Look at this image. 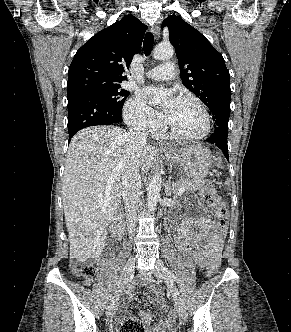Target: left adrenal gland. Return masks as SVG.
Returning a JSON list of instances; mask_svg holds the SVG:
<instances>
[{
  "label": "left adrenal gland",
  "mask_w": 291,
  "mask_h": 332,
  "mask_svg": "<svg viewBox=\"0 0 291 332\" xmlns=\"http://www.w3.org/2000/svg\"><path fill=\"white\" fill-rule=\"evenodd\" d=\"M164 190H165V194L167 196H171L172 195V191H171V182H170V178L168 179V181L166 182L165 186H164Z\"/></svg>",
  "instance_id": "1"
}]
</instances>
